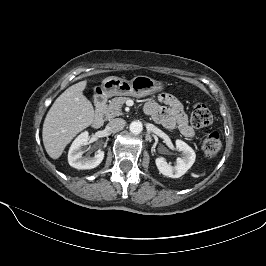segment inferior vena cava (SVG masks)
Returning a JSON list of instances; mask_svg holds the SVG:
<instances>
[{
  "instance_id": "inferior-vena-cava-1",
  "label": "inferior vena cava",
  "mask_w": 266,
  "mask_h": 266,
  "mask_svg": "<svg viewBox=\"0 0 266 266\" xmlns=\"http://www.w3.org/2000/svg\"><path fill=\"white\" fill-rule=\"evenodd\" d=\"M126 121L122 118H116L108 123V128L112 132H118L124 128Z\"/></svg>"
}]
</instances>
